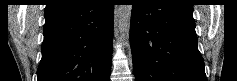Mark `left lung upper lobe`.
Masks as SVG:
<instances>
[{"label": "left lung upper lobe", "instance_id": "1", "mask_svg": "<svg viewBox=\"0 0 237 81\" xmlns=\"http://www.w3.org/2000/svg\"><path fill=\"white\" fill-rule=\"evenodd\" d=\"M173 1H176V2H179V3H183L185 5L193 6L191 0H173Z\"/></svg>", "mask_w": 237, "mask_h": 81}]
</instances>
